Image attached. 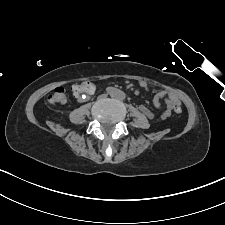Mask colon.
<instances>
[{
    "mask_svg": "<svg viewBox=\"0 0 225 225\" xmlns=\"http://www.w3.org/2000/svg\"><path fill=\"white\" fill-rule=\"evenodd\" d=\"M94 85L90 82H83L81 84L74 85L72 88L73 94L87 93L92 91ZM68 101L66 96V89L63 86L55 88L47 97V102L49 104H59L64 105ZM183 111L180 105L174 107V112L176 114H181Z\"/></svg>",
    "mask_w": 225,
    "mask_h": 225,
    "instance_id": "1",
    "label": "colon"
}]
</instances>
